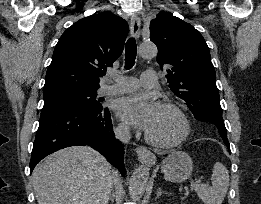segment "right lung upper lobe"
I'll return each instance as SVG.
<instances>
[{"label":"right lung upper lobe","instance_id":"right-lung-upper-lobe-1","mask_svg":"<svg viewBox=\"0 0 261 204\" xmlns=\"http://www.w3.org/2000/svg\"><path fill=\"white\" fill-rule=\"evenodd\" d=\"M127 34V22L110 12L74 23L55 47L43 94L97 90L101 70L122 54Z\"/></svg>","mask_w":261,"mask_h":204}]
</instances>
